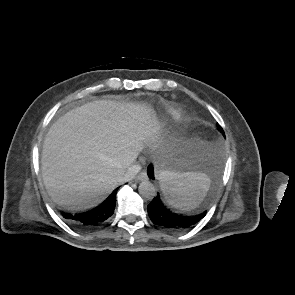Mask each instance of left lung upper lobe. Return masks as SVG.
<instances>
[{
    "mask_svg": "<svg viewBox=\"0 0 295 295\" xmlns=\"http://www.w3.org/2000/svg\"><path fill=\"white\" fill-rule=\"evenodd\" d=\"M218 129L223 132V129L220 126H218ZM223 134H224V132H223Z\"/></svg>",
    "mask_w": 295,
    "mask_h": 295,
    "instance_id": "1",
    "label": "left lung upper lobe"
}]
</instances>
